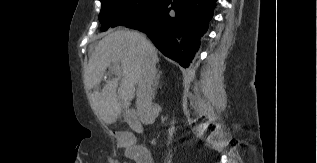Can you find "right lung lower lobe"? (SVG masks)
Instances as JSON below:
<instances>
[{
	"instance_id": "98d812e1",
	"label": "right lung lower lobe",
	"mask_w": 317,
	"mask_h": 163,
	"mask_svg": "<svg viewBox=\"0 0 317 163\" xmlns=\"http://www.w3.org/2000/svg\"><path fill=\"white\" fill-rule=\"evenodd\" d=\"M215 5L216 0H163L150 14L126 27L146 33L165 56L187 67Z\"/></svg>"
}]
</instances>
